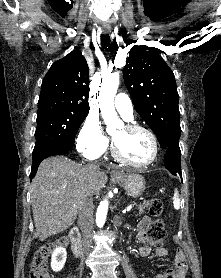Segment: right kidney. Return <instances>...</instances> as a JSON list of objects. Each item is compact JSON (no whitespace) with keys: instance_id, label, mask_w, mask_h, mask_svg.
<instances>
[{"instance_id":"ca27d5eb","label":"right kidney","mask_w":221,"mask_h":278,"mask_svg":"<svg viewBox=\"0 0 221 278\" xmlns=\"http://www.w3.org/2000/svg\"><path fill=\"white\" fill-rule=\"evenodd\" d=\"M66 258H67L66 249L63 247L56 248L52 253V258H51L52 270L55 272L62 270V268L65 265Z\"/></svg>"}]
</instances>
